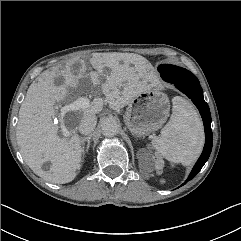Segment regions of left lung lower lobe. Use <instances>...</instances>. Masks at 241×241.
Instances as JSON below:
<instances>
[{
  "mask_svg": "<svg viewBox=\"0 0 241 241\" xmlns=\"http://www.w3.org/2000/svg\"><path fill=\"white\" fill-rule=\"evenodd\" d=\"M164 79V78H163ZM167 82L175 84V86L185 93L196 105V107L199 109L200 114L203 118V123H204V129H205V146L203 149V152L196 162L192 172L189 175L188 180H191L194 178L198 172L201 170L203 165L206 163V161L209 158V155L212 150V130H211V115H210V110L207 105V103L204 101L203 97V90L200 86V83L198 79L194 81H187V82H177V81H172V80H167L164 79Z\"/></svg>",
  "mask_w": 241,
  "mask_h": 241,
  "instance_id": "left-lung-lower-lobe-1",
  "label": "left lung lower lobe"
}]
</instances>
